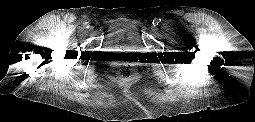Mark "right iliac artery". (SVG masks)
Masks as SVG:
<instances>
[{
	"instance_id": "right-iliac-artery-1",
	"label": "right iliac artery",
	"mask_w": 255,
	"mask_h": 122,
	"mask_svg": "<svg viewBox=\"0 0 255 122\" xmlns=\"http://www.w3.org/2000/svg\"><path fill=\"white\" fill-rule=\"evenodd\" d=\"M84 27H85V28H89V23H87V22L84 23Z\"/></svg>"
}]
</instances>
